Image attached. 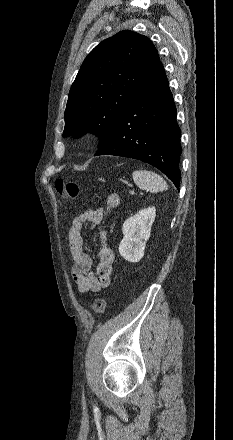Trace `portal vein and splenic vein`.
I'll use <instances>...</instances> for the list:
<instances>
[{"label":"portal vein and splenic vein","mask_w":233,"mask_h":440,"mask_svg":"<svg viewBox=\"0 0 233 440\" xmlns=\"http://www.w3.org/2000/svg\"><path fill=\"white\" fill-rule=\"evenodd\" d=\"M140 193L143 194V193H145V192L141 191ZM130 194L134 195L135 192H134V191H131Z\"/></svg>","instance_id":"portal-vein-and-splenic-vein-1"}]
</instances>
